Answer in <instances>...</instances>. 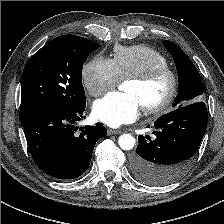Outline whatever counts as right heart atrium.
<instances>
[{
  "mask_svg": "<svg viewBox=\"0 0 224 224\" xmlns=\"http://www.w3.org/2000/svg\"><path fill=\"white\" fill-rule=\"evenodd\" d=\"M120 76L112 59L96 56L82 69V82L92 96H99L120 82Z\"/></svg>",
  "mask_w": 224,
  "mask_h": 224,
  "instance_id": "d8ad5b80",
  "label": "right heart atrium"
}]
</instances>
